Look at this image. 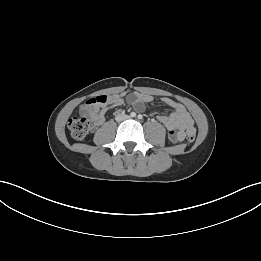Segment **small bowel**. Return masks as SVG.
<instances>
[{
    "mask_svg": "<svg viewBox=\"0 0 261 261\" xmlns=\"http://www.w3.org/2000/svg\"><path fill=\"white\" fill-rule=\"evenodd\" d=\"M152 95L143 93L115 94L107 96L103 103H90L87 100L80 107V113L89 115L93 120L94 126H100L104 122V116L110 108L120 106L124 102L133 106L136 110L141 111L145 103L154 101ZM162 102L170 106L173 110L171 113L161 115L159 121L167 128L168 138L171 142H181L190 133L195 134L194 122L190 114L181 103L170 98H162Z\"/></svg>",
    "mask_w": 261,
    "mask_h": 261,
    "instance_id": "1",
    "label": "small bowel"
}]
</instances>
